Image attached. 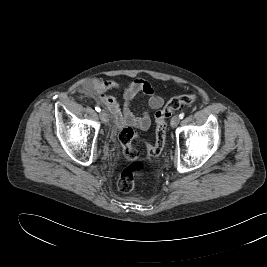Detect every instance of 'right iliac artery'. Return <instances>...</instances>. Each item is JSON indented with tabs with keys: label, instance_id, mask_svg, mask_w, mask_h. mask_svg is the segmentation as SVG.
I'll return each instance as SVG.
<instances>
[{
	"label": "right iliac artery",
	"instance_id": "obj_1",
	"mask_svg": "<svg viewBox=\"0 0 267 267\" xmlns=\"http://www.w3.org/2000/svg\"><path fill=\"white\" fill-rule=\"evenodd\" d=\"M95 110H96L97 112H100L101 109H100L98 106H96V107H95Z\"/></svg>",
	"mask_w": 267,
	"mask_h": 267
}]
</instances>
